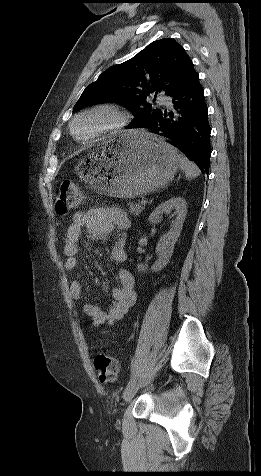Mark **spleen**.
<instances>
[{"label":"spleen","instance_id":"spleen-1","mask_svg":"<svg viewBox=\"0 0 261 476\" xmlns=\"http://www.w3.org/2000/svg\"><path fill=\"white\" fill-rule=\"evenodd\" d=\"M179 166L185 172V176L188 179H193L199 176V168L191 161H189L184 155L179 154Z\"/></svg>","mask_w":261,"mask_h":476}]
</instances>
